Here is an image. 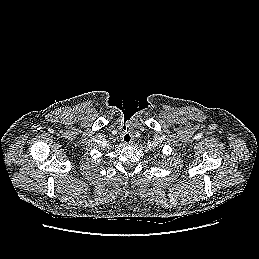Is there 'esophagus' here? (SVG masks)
<instances>
[{"label":"esophagus","mask_w":259,"mask_h":259,"mask_svg":"<svg viewBox=\"0 0 259 259\" xmlns=\"http://www.w3.org/2000/svg\"><path fill=\"white\" fill-rule=\"evenodd\" d=\"M122 141L124 144H132V136L130 133L126 132L122 136Z\"/></svg>","instance_id":"obj_1"}]
</instances>
